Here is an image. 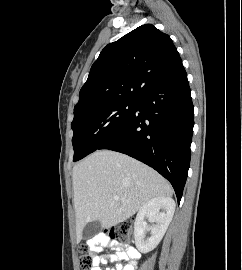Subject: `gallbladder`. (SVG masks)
Masks as SVG:
<instances>
[{"label": "gallbladder", "instance_id": "gallbladder-1", "mask_svg": "<svg viewBox=\"0 0 242 270\" xmlns=\"http://www.w3.org/2000/svg\"><path fill=\"white\" fill-rule=\"evenodd\" d=\"M101 230V223L98 220L89 222L83 229V236L85 239L92 237Z\"/></svg>", "mask_w": 242, "mask_h": 270}]
</instances>
